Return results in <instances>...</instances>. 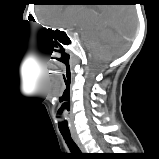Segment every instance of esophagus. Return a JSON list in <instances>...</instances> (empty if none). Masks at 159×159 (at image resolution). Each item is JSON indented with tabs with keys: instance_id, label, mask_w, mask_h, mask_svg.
<instances>
[{
	"instance_id": "1",
	"label": "esophagus",
	"mask_w": 159,
	"mask_h": 159,
	"mask_svg": "<svg viewBox=\"0 0 159 159\" xmlns=\"http://www.w3.org/2000/svg\"><path fill=\"white\" fill-rule=\"evenodd\" d=\"M72 138H73L74 142L77 144V146L79 147V149L81 150V152L84 153L86 151V149H85L84 145L82 144V142L80 141L77 134H72Z\"/></svg>"
}]
</instances>
